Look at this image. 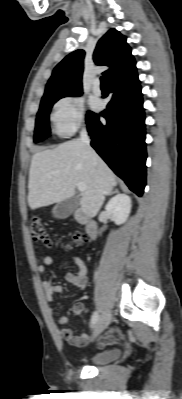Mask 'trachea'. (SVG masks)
Returning a JSON list of instances; mask_svg holds the SVG:
<instances>
[{"label":"trachea","instance_id":"trachea-1","mask_svg":"<svg viewBox=\"0 0 182 399\" xmlns=\"http://www.w3.org/2000/svg\"><path fill=\"white\" fill-rule=\"evenodd\" d=\"M101 87L102 88H108V78H107V76H102L101 77Z\"/></svg>","mask_w":182,"mask_h":399}]
</instances>
